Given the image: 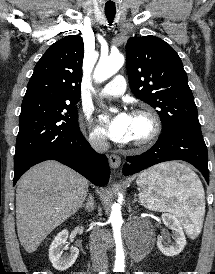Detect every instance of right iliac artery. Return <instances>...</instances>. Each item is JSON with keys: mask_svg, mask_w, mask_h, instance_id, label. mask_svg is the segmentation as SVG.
Returning <instances> with one entry per match:
<instances>
[{"mask_svg": "<svg viewBox=\"0 0 215 274\" xmlns=\"http://www.w3.org/2000/svg\"><path fill=\"white\" fill-rule=\"evenodd\" d=\"M99 274H105V272H100Z\"/></svg>", "mask_w": 215, "mask_h": 274, "instance_id": "1", "label": "right iliac artery"}]
</instances>
